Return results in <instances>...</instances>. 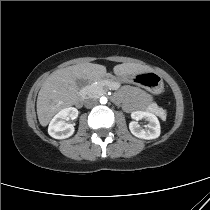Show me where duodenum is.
Segmentation results:
<instances>
[{
  "instance_id": "duodenum-1",
  "label": "duodenum",
  "mask_w": 210,
  "mask_h": 210,
  "mask_svg": "<svg viewBox=\"0 0 210 210\" xmlns=\"http://www.w3.org/2000/svg\"><path fill=\"white\" fill-rule=\"evenodd\" d=\"M83 100H84V93L81 92L80 95H79V98H78V100H77V102H76V105H77L78 107H80V106L82 105V103H83Z\"/></svg>"
}]
</instances>
